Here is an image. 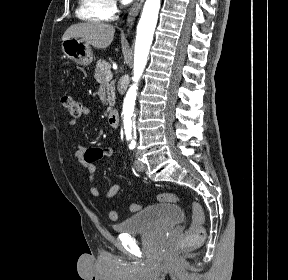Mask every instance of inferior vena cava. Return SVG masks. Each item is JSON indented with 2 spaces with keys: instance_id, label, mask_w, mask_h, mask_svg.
Returning a JSON list of instances; mask_svg holds the SVG:
<instances>
[{
  "instance_id": "obj_1",
  "label": "inferior vena cava",
  "mask_w": 288,
  "mask_h": 280,
  "mask_svg": "<svg viewBox=\"0 0 288 280\" xmlns=\"http://www.w3.org/2000/svg\"><path fill=\"white\" fill-rule=\"evenodd\" d=\"M129 78H120L118 90H127Z\"/></svg>"
}]
</instances>
